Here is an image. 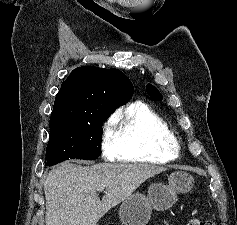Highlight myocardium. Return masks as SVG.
I'll use <instances>...</instances> for the list:
<instances>
[{
	"instance_id": "myocardium-1",
	"label": "myocardium",
	"mask_w": 237,
	"mask_h": 225,
	"mask_svg": "<svg viewBox=\"0 0 237 225\" xmlns=\"http://www.w3.org/2000/svg\"><path fill=\"white\" fill-rule=\"evenodd\" d=\"M173 148L177 151L179 149V144L177 140L174 142Z\"/></svg>"
}]
</instances>
